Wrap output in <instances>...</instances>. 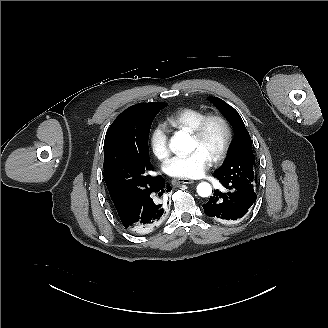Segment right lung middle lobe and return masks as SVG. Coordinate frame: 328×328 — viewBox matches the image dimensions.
<instances>
[{"instance_id": "1", "label": "right lung middle lobe", "mask_w": 328, "mask_h": 328, "mask_svg": "<svg viewBox=\"0 0 328 328\" xmlns=\"http://www.w3.org/2000/svg\"><path fill=\"white\" fill-rule=\"evenodd\" d=\"M167 103H138L111 124L104 141V179L115 203L132 205L149 193L158 177L151 175L148 138L152 121Z\"/></svg>"}]
</instances>
